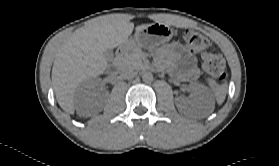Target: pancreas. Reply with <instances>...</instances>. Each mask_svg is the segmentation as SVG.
Here are the masks:
<instances>
[{
    "mask_svg": "<svg viewBox=\"0 0 279 166\" xmlns=\"http://www.w3.org/2000/svg\"><path fill=\"white\" fill-rule=\"evenodd\" d=\"M141 50L135 48L131 53L119 58V66L121 69H140L143 65L141 58Z\"/></svg>",
    "mask_w": 279,
    "mask_h": 166,
    "instance_id": "cf45deb5",
    "label": "pancreas"
}]
</instances>
